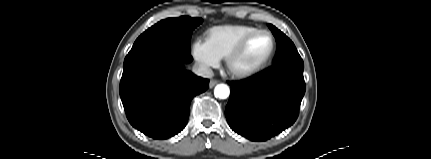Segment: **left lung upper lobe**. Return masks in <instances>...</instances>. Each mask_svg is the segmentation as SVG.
I'll list each match as a JSON object with an SVG mask.
<instances>
[{
    "mask_svg": "<svg viewBox=\"0 0 431 159\" xmlns=\"http://www.w3.org/2000/svg\"><path fill=\"white\" fill-rule=\"evenodd\" d=\"M277 42V51L273 60V65L284 62L303 63L293 42L275 26L268 24Z\"/></svg>",
    "mask_w": 431,
    "mask_h": 159,
    "instance_id": "obj_1",
    "label": "left lung upper lobe"
}]
</instances>
